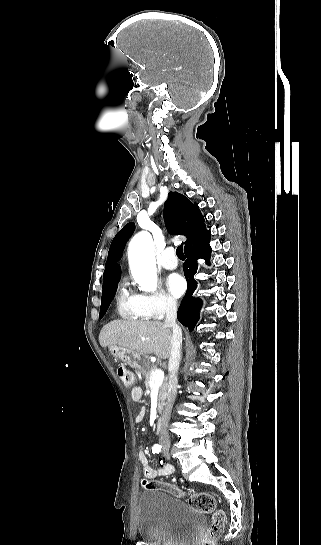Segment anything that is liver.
Wrapping results in <instances>:
<instances>
[{
	"mask_svg": "<svg viewBox=\"0 0 321 545\" xmlns=\"http://www.w3.org/2000/svg\"><path fill=\"white\" fill-rule=\"evenodd\" d=\"M173 329L160 321H111L100 331L101 347L118 345L139 355L154 353L158 359H169Z\"/></svg>",
	"mask_w": 321,
	"mask_h": 545,
	"instance_id": "liver-1",
	"label": "liver"
}]
</instances>
